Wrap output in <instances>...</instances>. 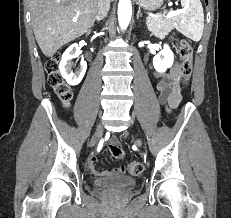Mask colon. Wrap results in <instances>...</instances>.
I'll return each mask as SVG.
<instances>
[{
	"label": "colon",
	"mask_w": 231,
	"mask_h": 218,
	"mask_svg": "<svg viewBox=\"0 0 231 218\" xmlns=\"http://www.w3.org/2000/svg\"><path fill=\"white\" fill-rule=\"evenodd\" d=\"M179 56L181 58V73L183 82L187 83L192 74L193 67V48L190 42L182 39L179 45ZM48 73L49 84L54 88L56 94L65 103L68 104L72 98L70 87L64 82L59 73V55H54L45 65ZM111 155L116 159H121L124 156L122 147L116 144L108 146ZM126 169L131 175H139L143 170V166L138 161H131L126 165Z\"/></svg>",
	"instance_id": "1"
}]
</instances>
